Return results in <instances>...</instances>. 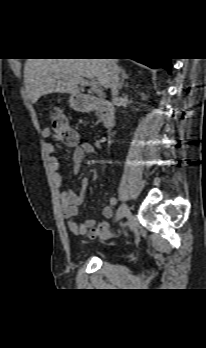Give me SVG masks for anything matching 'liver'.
<instances>
[{"label": "liver", "instance_id": "1", "mask_svg": "<svg viewBox=\"0 0 206 348\" xmlns=\"http://www.w3.org/2000/svg\"><path fill=\"white\" fill-rule=\"evenodd\" d=\"M117 65L118 59H111ZM109 59H27L24 83L29 99L36 103L49 93L76 95L80 89L77 79L86 77L110 87Z\"/></svg>", "mask_w": 206, "mask_h": 348}]
</instances>
